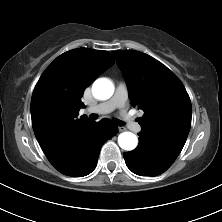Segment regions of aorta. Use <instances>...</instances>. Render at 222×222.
<instances>
[{
    "mask_svg": "<svg viewBox=\"0 0 222 222\" xmlns=\"http://www.w3.org/2000/svg\"><path fill=\"white\" fill-rule=\"evenodd\" d=\"M92 93L96 99L107 100L114 93L113 83L106 79H97L92 85ZM138 139L132 132H123L118 136L119 146L127 151H131L136 148Z\"/></svg>",
    "mask_w": 222,
    "mask_h": 222,
    "instance_id": "obj_1",
    "label": "aorta"
}]
</instances>
